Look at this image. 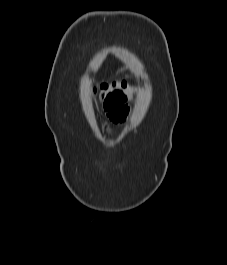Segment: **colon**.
<instances>
[{"label": "colon", "instance_id": "colon-1", "mask_svg": "<svg viewBox=\"0 0 227 265\" xmlns=\"http://www.w3.org/2000/svg\"><path fill=\"white\" fill-rule=\"evenodd\" d=\"M93 95L103 104L104 112L110 121L121 122L128 113V101L132 89L124 82L104 83L94 87Z\"/></svg>", "mask_w": 227, "mask_h": 265}]
</instances>
